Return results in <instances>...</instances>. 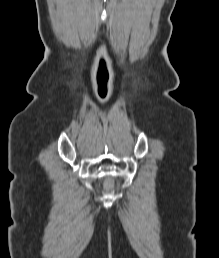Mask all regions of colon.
<instances>
[{"label":"colon","mask_w":219,"mask_h":258,"mask_svg":"<svg viewBox=\"0 0 219 258\" xmlns=\"http://www.w3.org/2000/svg\"><path fill=\"white\" fill-rule=\"evenodd\" d=\"M111 186H112V182H111V180H109V181H108V187H109V189H111Z\"/></svg>","instance_id":"obj_1"}]
</instances>
